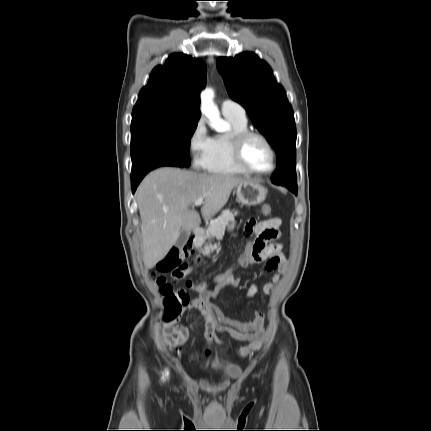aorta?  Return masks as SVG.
Wrapping results in <instances>:
<instances>
[{"label":"aorta","mask_w":431,"mask_h":431,"mask_svg":"<svg viewBox=\"0 0 431 431\" xmlns=\"http://www.w3.org/2000/svg\"><path fill=\"white\" fill-rule=\"evenodd\" d=\"M201 110L211 121L217 131H225L226 123L220 118L219 112L213 103V91L206 89L201 93Z\"/></svg>","instance_id":"762f6f07"}]
</instances>
